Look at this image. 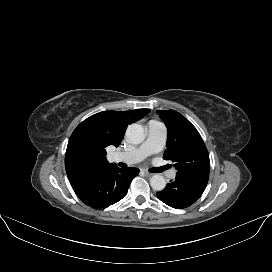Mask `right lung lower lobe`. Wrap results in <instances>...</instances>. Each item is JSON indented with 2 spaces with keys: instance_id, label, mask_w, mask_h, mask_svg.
I'll return each mask as SVG.
<instances>
[{
  "instance_id": "1",
  "label": "right lung lower lobe",
  "mask_w": 272,
  "mask_h": 272,
  "mask_svg": "<svg viewBox=\"0 0 272 272\" xmlns=\"http://www.w3.org/2000/svg\"><path fill=\"white\" fill-rule=\"evenodd\" d=\"M138 173L137 168L120 169L113 165L98 174L72 182L71 186L83 203L101 209L121 200Z\"/></svg>"
}]
</instances>
